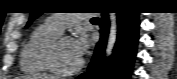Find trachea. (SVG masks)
<instances>
[{"label":"trachea","instance_id":"3493384b","mask_svg":"<svg viewBox=\"0 0 177 79\" xmlns=\"http://www.w3.org/2000/svg\"><path fill=\"white\" fill-rule=\"evenodd\" d=\"M92 21H97V20H99L97 17H94V18H92L91 19Z\"/></svg>","mask_w":177,"mask_h":79}]
</instances>
